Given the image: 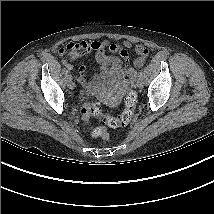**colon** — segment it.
I'll use <instances>...</instances> for the list:
<instances>
[{"mask_svg":"<svg viewBox=\"0 0 214 214\" xmlns=\"http://www.w3.org/2000/svg\"><path fill=\"white\" fill-rule=\"evenodd\" d=\"M136 53L139 57L135 60V65L137 67L143 66L145 59L148 56V50L142 46L135 47ZM123 56H127V52H121ZM72 56H76L77 53L73 52ZM127 58V57H126ZM129 72L132 73L130 69ZM137 96L135 91L131 88H127L125 96H124V107L120 115L113 116L109 113L103 112L101 108V104L99 102H95L90 105L88 108L87 113L84 115L85 121H89L91 116L99 117L105 125L117 128V127H124L132 122L134 115H135V108H136ZM91 134L94 137H98L103 139L104 141H108L110 139V135L107 132L106 127L100 126L91 130Z\"/></svg>","mask_w":214,"mask_h":214,"instance_id":"obj_1","label":"colon"}]
</instances>
